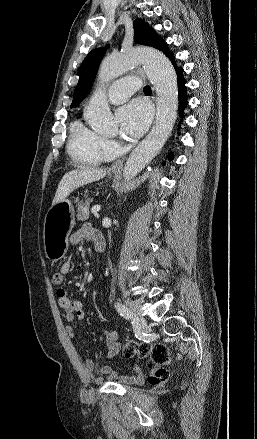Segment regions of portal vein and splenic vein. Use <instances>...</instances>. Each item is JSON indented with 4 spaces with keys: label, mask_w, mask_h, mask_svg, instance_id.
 <instances>
[{
    "label": "portal vein and splenic vein",
    "mask_w": 257,
    "mask_h": 439,
    "mask_svg": "<svg viewBox=\"0 0 257 439\" xmlns=\"http://www.w3.org/2000/svg\"><path fill=\"white\" fill-rule=\"evenodd\" d=\"M100 209H101V206H100V205H94V206L91 208V212H92L93 214H96L97 212H99Z\"/></svg>",
    "instance_id": "18ae733b"
}]
</instances>
